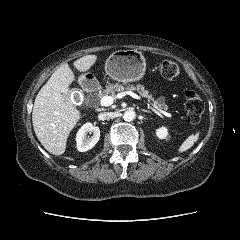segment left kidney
I'll return each instance as SVG.
<instances>
[{
	"label": "left kidney",
	"instance_id": "left-kidney-1",
	"mask_svg": "<svg viewBox=\"0 0 240 240\" xmlns=\"http://www.w3.org/2000/svg\"><path fill=\"white\" fill-rule=\"evenodd\" d=\"M156 135L160 139H168V131L165 127L157 129Z\"/></svg>",
	"mask_w": 240,
	"mask_h": 240
}]
</instances>
